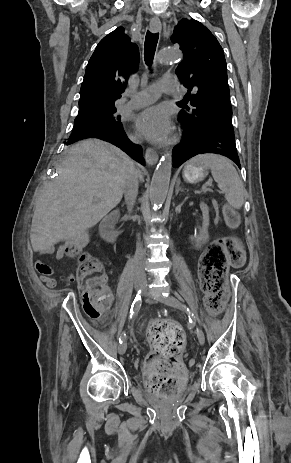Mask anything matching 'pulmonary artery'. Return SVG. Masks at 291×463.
<instances>
[{
    "label": "pulmonary artery",
    "mask_w": 291,
    "mask_h": 463,
    "mask_svg": "<svg viewBox=\"0 0 291 463\" xmlns=\"http://www.w3.org/2000/svg\"><path fill=\"white\" fill-rule=\"evenodd\" d=\"M161 93L181 97L183 92L180 90V85L174 76L165 75L157 83L149 85L131 95V99L126 103V107L134 109L139 108L156 101Z\"/></svg>",
    "instance_id": "pulmonary-artery-1"
}]
</instances>
